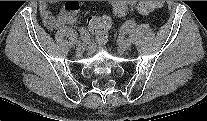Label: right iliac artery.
I'll use <instances>...</instances> for the list:
<instances>
[{
	"label": "right iliac artery",
	"mask_w": 207,
	"mask_h": 121,
	"mask_svg": "<svg viewBox=\"0 0 207 121\" xmlns=\"http://www.w3.org/2000/svg\"><path fill=\"white\" fill-rule=\"evenodd\" d=\"M81 39L85 43H88V41H89V34L85 30L81 31Z\"/></svg>",
	"instance_id": "82829eb1"
}]
</instances>
